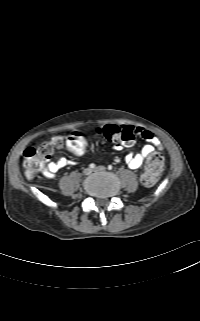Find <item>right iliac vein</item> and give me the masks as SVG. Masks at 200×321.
<instances>
[{
    "mask_svg": "<svg viewBox=\"0 0 200 321\" xmlns=\"http://www.w3.org/2000/svg\"><path fill=\"white\" fill-rule=\"evenodd\" d=\"M84 175H90L92 173V170L90 168H85L83 170Z\"/></svg>",
    "mask_w": 200,
    "mask_h": 321,
    "instance_id": "right-iliac-vein-1",
    "label": "right iliac vein"
}]
</instances>
